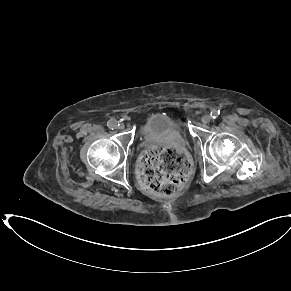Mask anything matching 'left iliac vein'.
Masks as SVG:
<instances>
[{"mask_svg": "<svg viewBox=\"0 0 291 291\" xmlns=\"http://www.w3.org/2000/svg\"><path fill=\"white\" fill-rule=\"evenodd\" d=\"M211 120V117L209 115H204L201 119L203 124H208Z\"/></svg>", "mask_w": 291, "mask_h": 291, "instance_id": "left-iliac-vein-1", "label": "left iliac vein"}]
</instances>
